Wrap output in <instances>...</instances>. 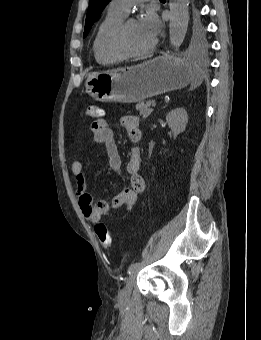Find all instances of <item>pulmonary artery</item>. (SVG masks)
<instances>
[{"label":"pulmonary artery","mask_w":261,"mask_h":340,"mask_svg":"<svg viewBox=\"0 0 261 340\" xmlns=\"http://www.w3.org/2000/svg\"><path fill=\"white\" fill-rule=\"evenodd\" d=\"M142 0H113L110 3V9L117 11L124 16L128 15L131 7Z\"/></svg>","instance_id":"pulmonary-artery-1"}]
</instances>
